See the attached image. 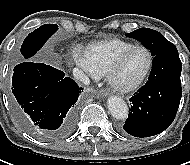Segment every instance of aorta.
<instances>
[{
    "instance_id": "762f6f07",
    "label": "aorta",
    "mask_w": 190,
    "mask_h": 165,
    "mask_svg": "<svg viewBox=\"0 0 190 165\" xmlns=\"http://www.w3.org/2000/svg\"><path fill=\"white\" fill-rule=\"evenodd\" d=\"M111 115L117 120H125L128 117V106L126 102L117 96H111L107 100Z\"/></svg>"
}]
</instances>
